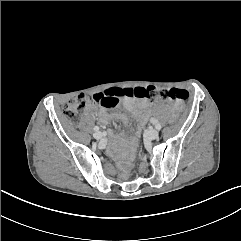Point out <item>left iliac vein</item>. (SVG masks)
<instances>
[{
    "instance_id": "1",
    "label": "left iliac vein",
    "mask_w": 241,
    "mask_h": 241,
    "mask_svg": "<svg viewBox=\"0 0 241 241\" xmlns=\"http://www.w3.org/2000/svg\"><path fill=\"white\" fill-rule=\"evenodd\" d=\"M146 136H147L149 139L154 140V139H157V138H158L159 133H158V131L155 130V129H149V130H147V132H146Z\"/></svg>"
}]
</instances>
